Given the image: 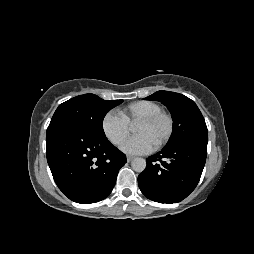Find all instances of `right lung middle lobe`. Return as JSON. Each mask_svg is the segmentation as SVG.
<instances>
[{
    "label": "right lung middle lobe",
    "instance_id": "right-lung-middle-lobe-1",
    "mask_svg": "<svg viewBox=\"0 0 254 254\" xmlns=\"http://www.w3.org/2000/svg\"><path fill=\"white\" fill-rule=\"evenodd\" d=\"M123 100H103L94 94L74 97L58 106L50 124L69 123L94 134L105 136L103 119L107 112Z\"/></svg>",
    "mask_w": 254,
    "mask_h": 254
}]
</instances>
